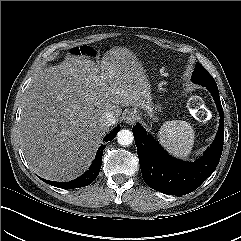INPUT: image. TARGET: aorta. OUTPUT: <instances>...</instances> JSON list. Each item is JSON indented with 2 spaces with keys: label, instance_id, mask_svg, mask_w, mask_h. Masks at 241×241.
Wrapping results in <instances>:
<instances>
[{
  "label": "aorta",
  "instance_id": "aorta-1",
  "mask_svg": "<svg viewBox=\"0 0 241 241\" xmlns=\"http://www.w3.org/2000/svg\"><path fill=\"white\" fill-rule=\"evenodd\" d=\"M133 140V133L128 129H122L117 134V142L122 146H128L132 144Z\"/></svg>",
  "mask_w": 241,
  "mask_h": 241
}]
</instances>
